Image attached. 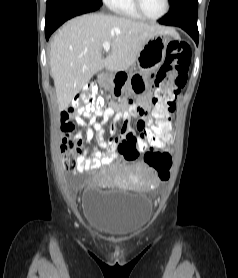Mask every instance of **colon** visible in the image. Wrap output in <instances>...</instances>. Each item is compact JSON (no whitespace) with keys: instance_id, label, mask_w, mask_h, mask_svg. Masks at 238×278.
Returning a JSON list of instances; mask_svg holds the SVG:
<instances>
[{"instance_id":"5ec220e1","label":"colon","mask_w":238,"mask_h":278,"mask_svg":"<svg viewBox=\"0 0 238 278\" xmlns=\"http://www.w3.org/2000/svg\"><path fill=\"white\" fill-rule=\"evenodd\" d=\"M190 48L183 41H172L168 44L164 64L154 75L155 91L152 98V116L154 123L149 128V136L133 138L135 144L123 142L119 152L126 160H135L139 154L144 153V160L148 166L155 170L161 181L169 177L171 158L164 153L167 148L166 141L162 137L171 133V115L175 110V99L186 83L187 67L190 62ZM104 98L98 96L97 88L93 84L86 85L77 94L72 102V111L94 112L102 109ZM74 124L66 122L62 130L69 137L63 141V165L67 171L76 172L79 170V158L83 155L80 142L72 138Z\"/></svg>"}]
</instances>
